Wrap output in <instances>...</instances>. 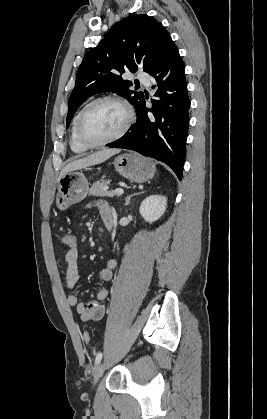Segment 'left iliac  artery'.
<instances>
[{
	"instance_id": "left-iliac-artery-1",
	"label": "left iliac artery",
	"mask_w": 267,
	"mask_h": 419,
	"mask_svg": "<svg viewBox=\"0 0 267 419\" xmlns=\"http://www.w3.org/2000/svg\"><path fill=\"white\" fill-rule=\"evenodd\" d=\"M102 359V353L99 352L95 358V364H98Z\"/></svg>"
}]
</instances>
